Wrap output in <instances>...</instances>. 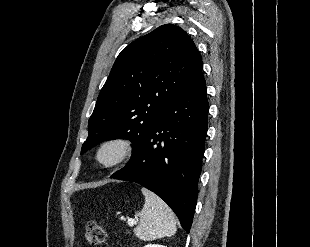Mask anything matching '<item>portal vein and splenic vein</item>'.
Segmentation results:
<instances>
[{
  "mask_svg": "<svg viewBox=\"0 0 310 247\" xmlns=\"http://www.w3.org/2000/svg\"><path fill=\"white\" fill-rule=\"evenodd\" d=\"M127 223H128L129 226H134V225L137 224V221L132 220V219H129V220L127 221Z\"/></svg>",
  "mask_w": 310,
  "mask_h": 247,
  "instance_id": "obj_1",
  "label": "portal vein and splenic vein"
}]
</instances>
